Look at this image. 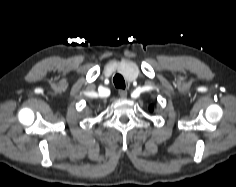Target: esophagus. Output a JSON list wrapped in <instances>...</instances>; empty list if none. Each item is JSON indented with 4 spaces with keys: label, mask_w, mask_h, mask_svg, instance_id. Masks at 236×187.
<instances>
[{
    "label": "esophagus",
    "mask_w": 236,
    "mask_h": 187,
    "mask_svg": "<svg viewBox=\"0 0 236 187\" xmlns=\"http://www.w3.org/2000/svg\"><path fill=\"white\" fill-rule=\"evenodd\" d=\"M118 93H119V96H120L121 98H126V97H127V91H126V90L120 89V90L118 91Z\"/></svg>",
    "instance_id": "1"
}]
</instances>
